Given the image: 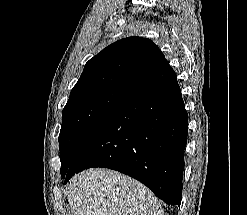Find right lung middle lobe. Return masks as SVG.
I'll return each mask as SVG.
<instances>
[{
  "label": "right lung middle lobe",
  "instance_id": "1",
  "mask_svg": "<svg viewBox=\"0 0 247 215\" xmlns=\"http://www.w3.org/2000/svg\"><path fill=\"white\" fill-rule=\"evenodd\" d=\"M127 88L87 89L71 92L63 109L59 135L61 175L69 169L72 151L84 133L114 111L130 94Z\"/></svg>",
  "mask_w": 247,
  "mask_h": 215
}]
</instances>
